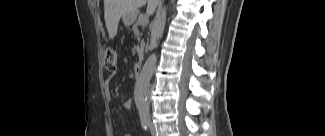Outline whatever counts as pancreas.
I'll return each mask as SVG.
<instances>
[{
  "label": "pancreas",
  "mask_w": 325,
  "mask_h": 136,
  "mask_svg": "<svg viewBox=\"0 0 325 136\" xmlns=\"http://www.w3.org/2000/svg\"><path fill=\"white\" fill-rule=\"evenodd\" d=\"M133 27V28H132ZM131 28H129V33H133V34H136V36H137V38H142V33H140V32H138L139 30H138V25L137 24H135V25H133Z\"/></svg>",
  "instance_id": "cf45deb5"
}]
</instances>
